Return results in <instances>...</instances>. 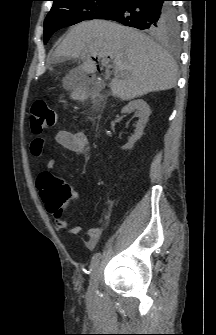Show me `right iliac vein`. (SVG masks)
<instances>
[{"label":"right iliac vein","mask_w":216,"mask_h":335,"mask_svg":"<svg viewBox=\"0 0 216 335\" xmlns=\"http://www.w3.org/2000/svg\"><path fill=\"white\" fill-rule=\"evenodd\" d=\"M98 280H99V265L97 264L92 272V277L88 288V296H91L95 292L98 285Z\"/></svg>","instance_id":"obj_1"}]
</instances>
